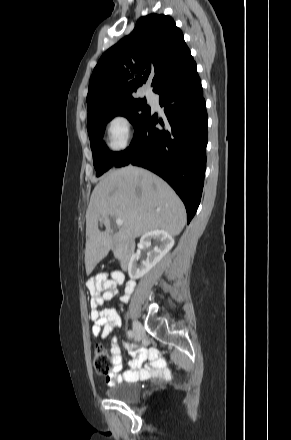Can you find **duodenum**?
I'll list each match as a JSON object with an SVG mask.
<instances>
[{
	"mask_svg": "<svg viewBox=\"0 0 291 440\" xmlns=\"http://www.w3.org/2000/svg\"><path fill=\"white\" fill-rule=\"evenodd\" d=\"M111 242V249L119 248V261L123 268H127L134 256L135 243L128 238H121L117 234H112L108 237Z\"/></svg>",
	"mask_w": 291,
	"mask_h": 440,
	"instance_id": "1",
	"label": "duodenum"
}]
</instances>
